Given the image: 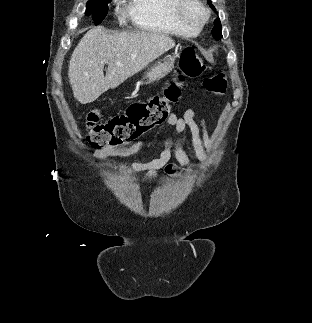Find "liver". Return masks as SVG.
Here are the masks:
<instances>
[{
  "instance_id": "liver-1",
  "label": "liver",
  "mask_w": 312,
  "mask_h": 323,
  "mask_svg": "<svg viewBox=\"0 0 312 323\" xmlns=\"http://www.w3.org/2000/svg\"><path fill=\"white\" fill-rule=\"evenodd\" d=\"M171 48H175V42L167 34H108L102 26L92 28L70 58L68 78L74 98L80 104L95 102L103 92L117 88ZM105 64H108L106 76L103 74Z\"/></svg>"
}]
</instances>
